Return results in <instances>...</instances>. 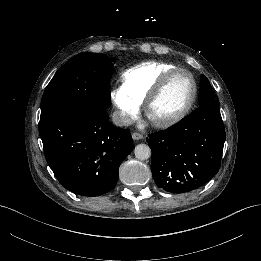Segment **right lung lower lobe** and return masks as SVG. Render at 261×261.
<instances>
[{
  "label": "right lung lower lobe",
  "instance_id": "1",
  "mask_svg": "<svg viewBox=\"0 0 261 261\" xmlns=\"http://www.w3.org/2000/svg\"><path fill=\"white\" fill-rule=\"evenodd\" d=\"M45 158L60 184L76 195L94 197L112 190L133 142L127 129L109 122L105 108L83 107L41 117Z\"/></svg>",
  "mask_w": 261,
  "mask_h": 261
}]
</instances>
